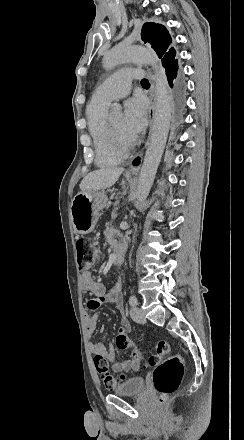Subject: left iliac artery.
Returning a JSON list of instances; mask_svg holds the SVG:
<instances>
[{"mask_svg":"<svg viewBox=\"0 0 244 440\" xmlns=\"http://www.w3.org/2000/svg\"><path fill=\"white\" fill-rule=\"evenodd\" d=\"M129 304H130L131 306H136V305L138 304V300H137L136 296L131 295V296L129 297Z\"/></svg>","mask_w":244,"mask_h":440,"instance_id":"obj_1","label":"left iliac artery"}]
</instances>
